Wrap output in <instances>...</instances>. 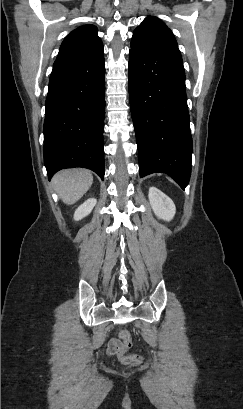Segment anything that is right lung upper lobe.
<instances>
[{"instance_id": "1", "label": "right lung upper lobe", "mask_w": 243, "mask_h": 409, "mask_svg": "<svg viewBox=\"0 0 243 409\" xmlns=\"http://www.w3.org/2000/svg\"><path fill=\"white\" fill-rule=\"evenodd\" d=\"M101 47L97 28L94 25L80 26L66 36L53 66L86 57Z\"/></svg>"}]
</instances>
